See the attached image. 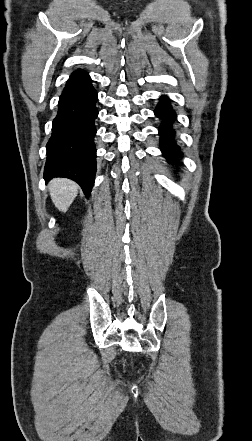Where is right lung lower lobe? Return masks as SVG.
Masks as SVG:
<instances>
[{"label":"right lung lower lobe","mask_w":252,"mask_h":441,"mask_svg":"<svg viewBox=\"0 0 252 441\" xmlns=\"http://www.w3.org/2000/svg\"><path fill=\"white\" fill-rule=\"evenodd\" d=\"M98 94L84 70L72 73L59 98L47 148L44 178L66 177L77 182L89 197L95 179L94 120Z\"/></svg>","instance_id":"obj_1"}]
</instances>
